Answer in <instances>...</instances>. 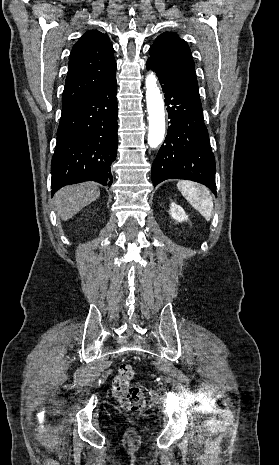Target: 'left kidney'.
I'll return each mask as SVG.
<instances>
[{
	"label": "left kidney",
	"instance_id": "left-kidney-1",
	"mask_svg": "<svg viewBox=\"0 0 279 465\" xmlns=\"http://www.w3.org/2000/svg\"><path fill=\"white\" fill-rule=\"evenodd\" d=\"M170 214L173 219L178 222L187 221L188 216L186 215L184 209L176 203H171L170 205Z\"/></svg>",
	"mask_w": 279,
	"mask_h": 465
}]
</instances>
